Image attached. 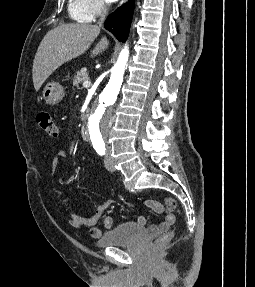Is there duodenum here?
I'll return each mask as SVG.
<instances>
[{
    "instance_id": "410a0bca",
    "label": "duodenum",
    "mask_w": 255,
    "mask_h": 287,
    "mask_svg": "<svg viewBox=\"0 0 255 287\" xmlns=\"http://www.w3.org/2000/svg\"><path fill=\"white\" fill-rule=\"evenodd\" d=\"M80 136L83 140L88 141L89 140V134L88 129L86 126H82L80 129Z\"/></svg>"
}]
</instances>
